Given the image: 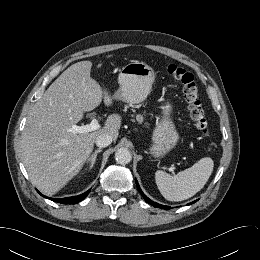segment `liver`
Masks as SVG:
<instances>
[{
    "label": "liver",
    "mask_w": 260,
    "mask_h": 260,
    "mask_svg": "<svg viewBox=\"0 0 260 260\" xmlns=\"http://www.w3.org/2000/svg\"><path fill=\"white\" fill-rule=\"evenodd\" d=\"M108 55L107 58H110ZM91 61L66 69L33 106L21 136L24 164L32 184L46 195L63 188L81 170L95 140L106 133L116 140L121 117L111 114L102 128L75 134L70 131L85 112L113 97L90 76Z\"/></svg>",
    "instance_id": "liver-1"
}]
</instances>
